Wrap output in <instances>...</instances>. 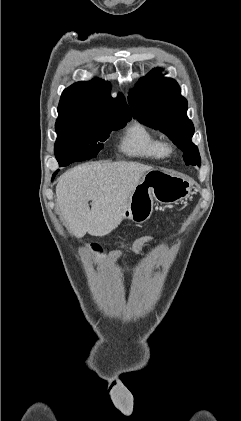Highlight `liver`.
Instances as JSON below:
<instances>
[{"instance_id":"liver-1","label":"liver","mask_w":241,"mask_h":421,"mask_svg":"<svg viewBox=\"0 0 241 421\" xmlns=\"http://www.w3.org/2000/svg\"><path fill=\"white\" fill-rule=\"evenodd\" d=\"M152 169L137 162H94L65 172L56 186V201L70 232L82 238L117 228L135 186Z\"/></svg>"}]
</instances>
